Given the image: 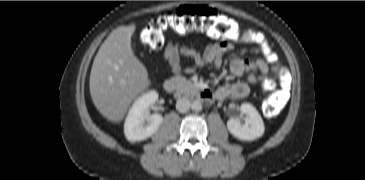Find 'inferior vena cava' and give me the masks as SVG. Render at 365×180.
<instances>
[{
    "label": "inferior vena cava",
    "instance_id": "inferior-vena-cava-1",
    "mask_svg": "<svg viewBox=\"0 0 365 180\" xmlns=\"http://www.w3.org/2000/svg\"><path fill=\"white\" fill-rule=\"evenodd\" d=\"M191 106L190 101L183 97L177 100L176 102V109L180 112V113H185L189 110Z\"/></svg>",
    "mask_w": 365,
    "mask_h": 180
}]
</instances>
